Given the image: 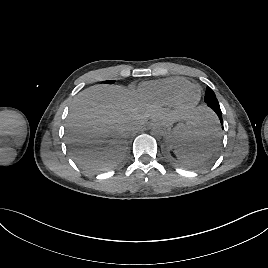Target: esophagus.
<instances>
[{"label": "esophagus", "mask_w": 268, "mask_h": 268, "mask_svg": "<svg viewBox=\"0 0 268 268\" xmlns=\"http://www.w3.org/2000/svg\"><path fill=\"white\" fill-rule=\"evenodd\" d=\"M151 126H158L160 125V121L158 119H153L150 123Z\"/></svg>", "instance_id": "34e87169"}]
</instances>
